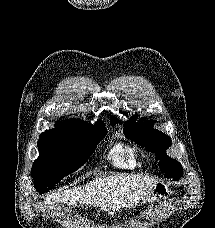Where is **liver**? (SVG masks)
Wrapping results in <instances>:
<instances>
[{
    "label": "liver",
    "instance_id": "1",
    "mask_svg": "<svg viewBox=\"0 0 215 228\" xmlns=\"http://www.w3.org/2000/svg\"><path fill=\"white\" fill-rule=\"evenodd\" d=\"M155 180L149 176H132V174H118V176H102L87 182L85 186L70 188L64 192H57L46 196V204H67V206H89L99 212H107L113 218L116 212L136 208L139 204H146L152 198ZM86 210V208H83Z\"/></svg>",
    "mask_w": 215,
    "mask_h": 228
}]
</instances>
